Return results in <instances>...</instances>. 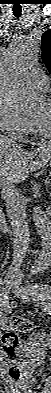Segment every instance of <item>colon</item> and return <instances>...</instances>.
<instances>
[{
  "label": "colon",
  "instance_id": "obj_1",
  "mask_svg": "<svg viewBox=\"0 0 51 393\" xmlns=\"http://www.w3.org/2000/svg\"><path fill=\"white\" fill-rule=\"evenodd\" d=\"M10 329L2 336V348L10 362L7 368V376L11 380L18 382L23 377L21 368L15 364L16 351L20 341V333H28L33 330L32 323L23 317L13 315L9 319ZM40 336V335H38Z\"/></svg>",
  "mask_w": 51,
  "mask_h": 393
}]
</instances>
